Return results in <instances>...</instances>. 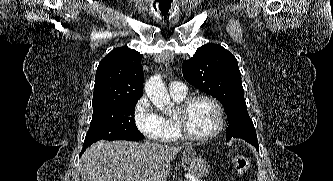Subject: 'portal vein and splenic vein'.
<instances>
[{"label": "portal vein and splenic vein", "instance_id": "portal-vein-and-splenic-vein-1", "mask_svg": "<svg viewBox=\"0 0 333 181\" xmlns=\"http://www.w3.org/2000/svg\"><path fill=\"white\" fill-rule=\"evenodd\" d=\"M191 181H202V180H198V179L192 178Z\"/></svg>", "mask_w": 333, "mask_h": 181}]
</instances>
